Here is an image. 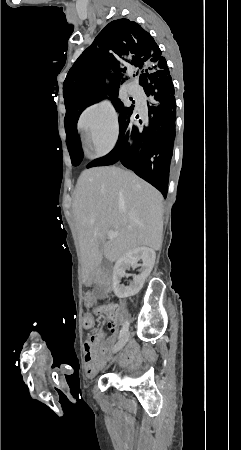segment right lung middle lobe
<instances>
[{"label":"right lung middle lobe","mask_w":241,"mask_h":450,"mask_svg":"<svg viewBox=\"0 0 241 450\" xmlns=\"http://www.w3.org/2000/svg\"><path fill=\"white\" fill-rule=\"evenodd\" d=\"M106 95L118 96V90L97 88L78 74L68 72L63 85V96L66 107V118L71 114H81L88 106L100 101ZM115 109L120 112L119 123L133 115L134 106L124 107L118 98H111ZM73 166H77L83 159V154L69 149Z\"/></svg>","instance_id":"1"}]
</instances>
